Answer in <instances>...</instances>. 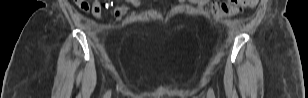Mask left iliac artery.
Instances as JSON below:
<instances>
[{
  "label": "left iliac artery",
  "mask_w": 308,
  "mask_h": 98,
  "mask_svg": "<svg viewBox=\"0 0 308 98\" xmlns=\"http://www.w3.org/2000/svg\"><path fill=\"white\" fill-rule=\"evenodd\" d=\"M208 97H209V98H215L214 91H213L212 88H210V89L208 90Z\"/></svg>",
  "instance_id": "44dca946"
}]
</instances>
